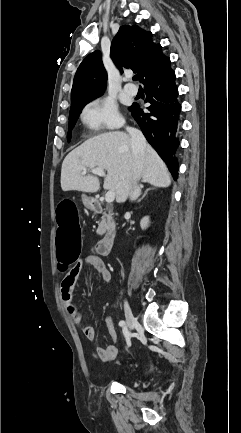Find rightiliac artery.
<instances>
[{"instance_id": "right-iliac-artery-1", "label": "right iliac artery", "mask_w": 241, "mask_h": 433, "mask_svg": "<svg viewBox=\"0 0 241 433\" xmlns=\"http://www.w3.org/2000/svg\"><path fill=\"white\" fill-rule=\"evenodd\" d=\"M119 325H120L121 327H124V326H125V322H124V321H120V322H119Z\"/></svg>"}]
</instances>
